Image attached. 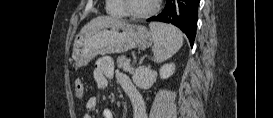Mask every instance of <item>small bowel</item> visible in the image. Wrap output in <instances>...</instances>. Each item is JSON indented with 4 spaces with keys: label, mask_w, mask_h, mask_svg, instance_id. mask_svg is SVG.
Here are the masks:
<instances>
[{
    "label": "small bowel",
    "mask_w": 273,
    "mask_h": 118,
    "mask_svg": "<svg viewBox=\"0 0 273 118\" xmlns=\"http://www.w3.org/2000/svg\"><path fill=\"white\" fill-rule=\"evenodd\" d=\"M113 77L117 80L118 84L131 102L132 110L129 118H144V101L131 79L122 72L115 70L112 58L107 56L98 58L93 69V78L96 85L99 88H104L107 86L108 80ZM97 105L98 99L95 96L88 98L85 104L86 109L90 111L96 109ZM84 118L92 117L89 114H86ZM103 118H114L113 111L111 109H105L103 111Z\"/></svg>",
    "instance_id": "1"
}]
</instances>
